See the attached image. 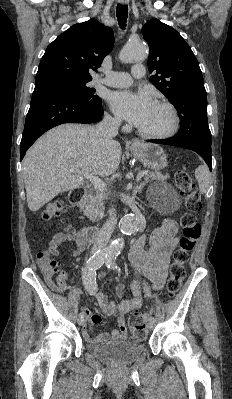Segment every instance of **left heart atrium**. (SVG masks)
<instances>
[{
  "mask_svg": "<svg viewBox=\"0 0 232 399\" xmlns=\"http://www.w3.org/2000/svg\"><path fill=\"white\" fill-rule=\"evenodd\" d=\"M110 105L117 116L138 126L150 112L152 103L144 95L116 92L110 97Z\"/></svg>",
  "mask_w": 232,
  "mask_h": 399,
  "instance_id": "obj_1",
  "label": "left heart atrium"
}]
</instances>
